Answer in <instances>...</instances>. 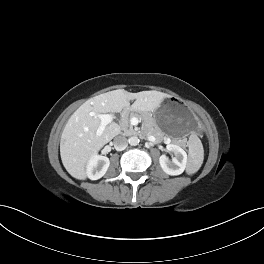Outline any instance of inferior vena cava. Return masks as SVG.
I'll use <instances>...</instances> for the list:
<instances>
[{
  "label": "inferior vena cava",
  "mask_w": 264,
  "mask_h": 264,
  "mask_svg": "<svg viewBox=\"0 0 264 264\" xmlns=\"http://www.w3.org/2000/svg\"><path fill=\"white\" fill-rule=\"evenodd\" d=\"M113 143L117 151H122L128 146L127 138L122 135L116 136Z\"/></svg>",
  "instance_id": "602c4592"
}]
</instances>
